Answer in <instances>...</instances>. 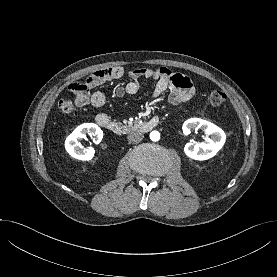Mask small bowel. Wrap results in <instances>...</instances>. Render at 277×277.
Here are the masks:
<instances>
[{
    "mask_svg": "<svg viewBox=\"0 0 277 277\" xmlns=\"http://www.w3.org/2000/svg\"><path fill=\"white\" fill-rule=\"evenodd\" d=\"M124 75V70L121 67H111L98 70L87 77L84 83H75L71 85V91L75 95V101L78 106L91 104L94 107H102L106 102L105 95L96 91L90 93V89L101 85L105 82L119 79ZM129 81L125 84L118 85L115 94L118 97H123L126 94L133 95L138 92L140 82L144 79L155 81L153 96L155 98L161 96L164 92H169V101L173 105H178L189 101L195 92L192 81L179 73H174L165 67L157 69L139 68L129 72ZM84 87L83 90H76L75 85ZM109 119L105 113H100L96 116V121L99 123L101 119Z\"/></svg>",
    "mask_w": 277,
    "mask_h": 277,
    "instance_id": "obj_1",
    "label": "small bowel"
}]
</instances>
